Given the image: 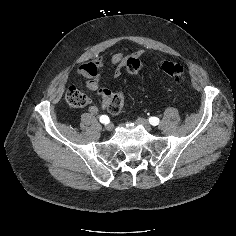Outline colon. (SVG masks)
I'll return each mask as SVG.
<instances>
[{"label":"colon","instance_id":"5ec220e1","mask_svg":"<svg viewBox=\"0 0 236 236\" xmlns=\"http://www.w3.org/2000/svg\"><path fill=\"white\" fill-rule=\"evenodd\" d=\"M143 68V62L138 58H130L127 62V70L130 73L139 72ZM163 72L173 81L182 83L184 81V67L175 61H165L162 64ZM66 101L72 108H82L88 104L87 96L78 88L72 86L66 92ZM124 105V96L120 93L112 96L107 109L111 114H117Z\"/></svg>","mask_w":236,"mask_h":236}]
</instances>
